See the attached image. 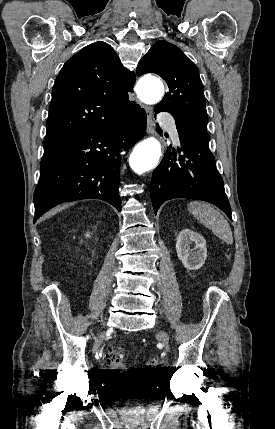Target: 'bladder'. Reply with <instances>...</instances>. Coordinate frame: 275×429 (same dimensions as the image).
I'll use <instances>...</instances> for the list:
<instances>
[{
    "label": "bladder",
    "instance_id": "31cf9c89",
    "mask_svg": "<svg viewBox=\"0 0 275 429\" xmlns=\"http://www.w3.org/2000/svg\"><path fill=\"white\" fill-rule=\"evenodd\" d=\"M108 398H119V403H144L151 398L150 377H112Z\"/></svg>",
    "mask_w": 275,
    "mask_h": 429
}]
</instances>
